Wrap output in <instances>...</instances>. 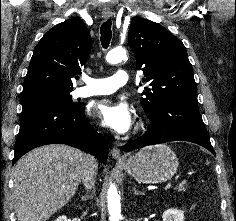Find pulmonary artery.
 <instances>
[{
	"label": "pulmonary artery",
	"mask_w": 236,
	"mask_h": 221,
	"mask_svg": "<svg viewBox=\"0 0 236 221\" xmlns=\"http://www.w3.org/2000/svg\"><path fill=\"white\" fill-rule=\"evenodd\" d=\"M130 80V75L126 70H118L109 78L96 79L84 77V86L75 90L76 97H89L94 95L110 94L118 90Z\"/></svg>",
	"instance_id": "1"
}]
</instances>
